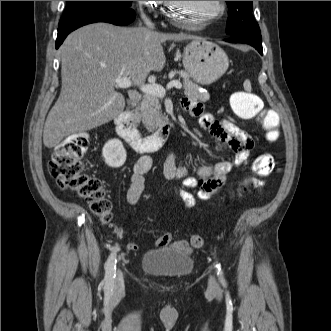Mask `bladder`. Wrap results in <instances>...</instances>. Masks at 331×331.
Wrapping results in <instances>:
<instances>
[{
  "label": "bladder",
  "mask_w": 331,
  "mask_h": 331,
  "mask_svg": "<svg viewBox=\"0 0 331 331\" xmlns=\"http://www.w3.org/2000/svg\"><path fill=\"white\" fill-rule=\"evenodd\" d=\"M140 267L158 278H181L192 272L193 258L189 252L171 246L152 248L142 255Z\"/></svg>",
  "instance_id": "obj_1"
}]
</instances>
